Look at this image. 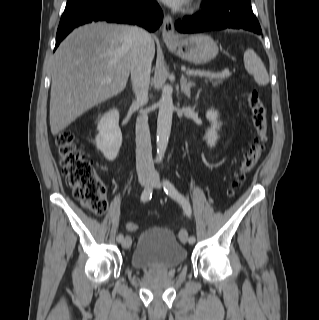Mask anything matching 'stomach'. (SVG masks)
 Returning <instances> with one entry per match:
<instances>
[{"instance_id": "obj_1", "label": "stomach", "mask_w": 319, "mask_h": 320, "mask_svg": "<svg viewBox=\"0 0 319 320\" xmlns=\"http://www.w3.org/2000/svg\"><path fill=\"white\" fill-rule=\"evenodd\" d=\"M168 47L178 57L194 64L208 63L218 54L217 43L205 34L180 37L169 42Z\"/></svg>"}]
</instances>
